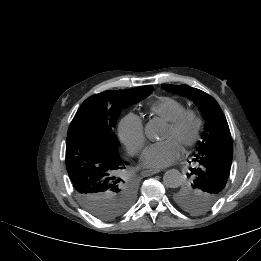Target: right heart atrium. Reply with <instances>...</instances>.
Here are the masks:
<instances>
[{"mask_svg": "<svg viewBox=\"0 0 261 261\" xmlns=\"http://www.w3.org/2000/svg\"><path fill=\"white\" fill-rule=\"evenodd\" d=\"M118 136L127 151L137 155L146 142L142 119L134 113L126 114L118 124Z\"/></svg>", "mask_w": 261, "mask_h": 261, "instance_id": "obj_1", "label": "right heart atrium"}]
</instances>
